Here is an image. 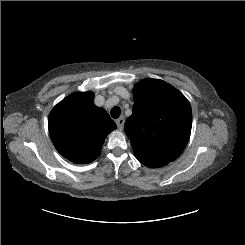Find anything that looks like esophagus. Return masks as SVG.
<instances>
[{
  "label": "esophagus",
  "instance_id": "34e87169",
  "mask_svg": "<svg viewBox=\"0 0 245 245\" xmlns=\"http://www.w3.org/2000/svg\"><path fill=\"white\" fill-rule=\"evenodd\" d=\"M124 117L121 116L119 117L117 120H116V124H117V127L119 128V130H122L123 129V126H124Z\"/></svg>",
  "mask_w": 245,
  "mask_h": 245
}]
</instances>
